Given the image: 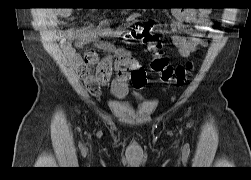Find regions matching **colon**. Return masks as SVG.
<instances>
[{
	"label": "colon",
	"mask_w": 251,
	"mask_h": 180,
	"mask_svg": "<svg viewBox=\"0 0 251 180\" xmlns=\"http://www.w3.org/2000/svg\"><path fill=\"white\" fill-rule=\"evenodd\" d=\"M128 36L145 44L148 50L152 52L151 68L160 75L164 82L179 86L186 81L192 65L187 63L185 65L172 66L161 52L158 36L146 25L134 24L130 28Z\"/></svg>",
	"instance_id": "1"
}]
</instances>
